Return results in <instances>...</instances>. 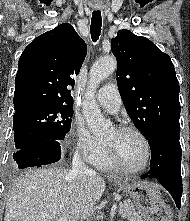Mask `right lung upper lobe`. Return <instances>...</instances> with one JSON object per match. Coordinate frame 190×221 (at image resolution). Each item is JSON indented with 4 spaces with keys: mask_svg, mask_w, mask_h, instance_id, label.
Instances as JSON below:
<instances>
[{
    "mask_svg": "<svg viewBox=\"0 0 190 221\" xmlns=\"http://www.w3.org/2000/svg\"><path fill=\"white\" fill-rule=\"evenodd\" d=\"M87 54L85 42L69 23L35 38L23 51L15 78L16 113L37 105L72 106L69 86Z\"/></svg>",
    "mask_w": 190,
    "mask_h": 221,
    "instance_id": "right-lung-upper-lobe-1",
    "label": "right lung upper lobe"
}]
</instances>
